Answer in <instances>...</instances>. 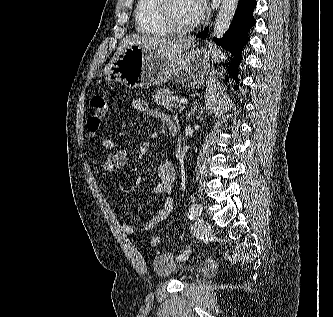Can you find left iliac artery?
<instances>
[{"instance_id":"obj_1","label":"left iliac artery","mask_w":333,"mask_h":317,"mask_svg":"<svg viewBox=\"0 0 333 317\" xmlns=\"http://www.w3.org/2000/svg\"><path fill=\"white\" fill-rule=\"evenodd\" d=\"M202 212V206L199 203H194L189 210V217L190 219L194 218L195 216L200 215ZM190 255V250L185 251L182 255L178 257L180 260H184L188 258Z\"/></svg>"}]
</instances>
